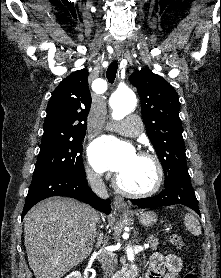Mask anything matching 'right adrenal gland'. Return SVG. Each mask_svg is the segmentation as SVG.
<instances>
[{
    "label": "right adrenal gland",
    "instance_id": "right-adrenal-gland-1",
    "mask_svg": "<svg viewBox=\"0 0 221 278\" xmlns=\"http://www.w3.org/2000/svg\"><path fill=\"white\" fill-rule=\"evenodd\" d=\"M102 239H103V234L100 232L97 245H99L101 243Z\"/></svg>",
    "mask_w": 221,
    "mask_h": 278
}]
</instances>
